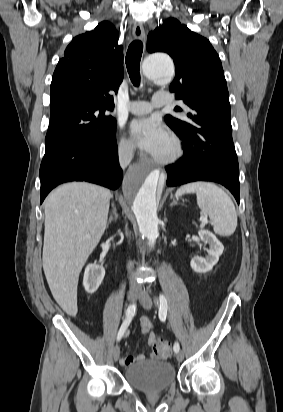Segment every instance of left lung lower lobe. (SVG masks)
<instances>
[{
  "label": "left lung lower lobe",
  "instance_id": "left-lung-lower-lobe-1",
  "mask_svg": "<svg viewBox=\"0 0 283 412\" xmlns=\"http://www.w3.org/2000/svg\"><path fill=\"white\" fill-rule=\"evenodd\" d=\"M184 155L166 167L167 185L176 186L193 181H214L224 185L239 204V168L214 162L204 150L202 142L193 134L180 136Z\"/></svg>",
  "mask_w": 283,
  "mask_h": 412
}]
</instances>
